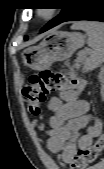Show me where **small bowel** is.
Returning a JSON list of instances; mask_svg holds the SVG:
<instances>
[{
	"label": "small bowel",
	"mask_w": 104,
	"mask_h": 169,
	"mask_svg": "<svg viewBox=\"0 0 104 169\" xmlns=\"http://www.w3.org/2000/svg\"><path fill=\"white\" fill-rule=\"evenodd\" d=\"M52 115L49 118L50 129L48 148L60 154L64 163L70 162L79 149L91 145L94 138L101 133V123L95 120L89 125L92 116L89 114L87 101L79 99L77 93L66 90L49 101Z\"/></svg>",
	"instance_id": "obj_1"
}]
</instances>
